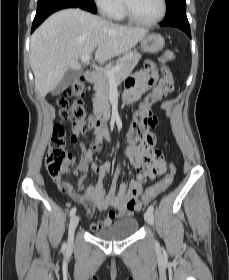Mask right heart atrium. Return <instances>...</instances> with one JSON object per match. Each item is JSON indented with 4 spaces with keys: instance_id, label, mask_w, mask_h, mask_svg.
<instances>
[{
    "instance_id": "obj_1",
    "label": "right heart atrium",
    "mask_w": 229,
    "mask_h": 280,
    "mask_svg": "<svg viewBox=\"0 0 229 280\" xmlns=\"http://www.w3.org/2000/svg\"><path fill=\"white\" fill-rule=\"evenodd\" d=\"M101 14L107 18H113L121 8V0H93Z\"/></svg>"
}]
</instances>
